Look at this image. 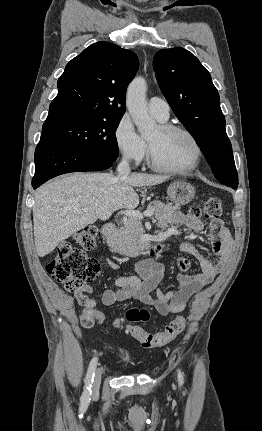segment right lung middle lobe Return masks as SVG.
<instances>
[{
	"label": "right lung middle lobe",
	"mask_w": 262,
	"mask_h": 431,
	"mask_svg": "<svg viewBox=\"0 0 262 431\" xmlns=\"http://www.w3.org/2000/svg\"><path fill=\"white\" fill-rule=\"evenodd\" d=\"M121 118H84L43 125L40 142L74 146L116 160L119 153L115 131Z\"/></svg>",
	"instance_id": "1"
}]
</instances>
